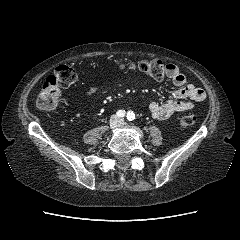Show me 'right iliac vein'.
Segmentation results:
<instances>
[{"instance_id": "right-iliac-vein-1", "label": "right iliac vein", "mask_w": 240, "mask_h": 240, "mask_svg": "<svg viewBox=\"0 0 240 240\" xmlns=\"http://www.w3.org/2000/svg\"><path fill=\"white\" fill-rule=\"evenodd\" d=\"M118 125H119V120H118V118L115 117V116L112 117V118L110 119V123H109L110 129H114V128H116Z\"/></svg>"}]
</instances>
